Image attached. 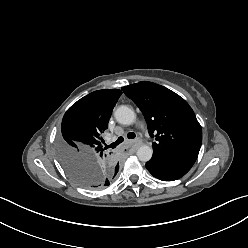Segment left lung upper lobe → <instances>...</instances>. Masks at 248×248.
I'll return each mask as SVG.
<instances>
[{
    "instance_id": "left-lung-upper-lobe-1",
    "label": "left lung upper lobe",
    "mask_w": 248,
    "mask_h": 248,
    "mask_svg": "<svg viewBox=\"0 0 248 248\" xmlns=\"http://www.w3.org/2000/svg\"><path fill=\"white\" fill-rule=\"evenodd\" d=\"M142 111L151 137L153 154L160 157L198 155L202 129L189 104L168 88L141 81L122 88Z\"/></svg>"
}]
</instances>
